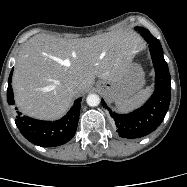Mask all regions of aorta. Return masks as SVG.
Returning <instances> with one entry per match:
<instances>
[{"mask_svg": "<svg viewBox=\"0 0 187 187\" xmlns=\"http://www.w3.org/2000/svg\"><path fill=\"white\" fill-rule=\"evenodd\" d=\"M86 102L91 107L98 106L100 103V97L97 94H89L86 98Z\"/></svg>", "mask_w": 187, "mask_h": 187, "instance_id": "aorta-1", "label": "aorta"}]
</instances>
